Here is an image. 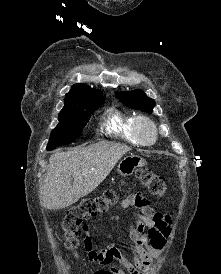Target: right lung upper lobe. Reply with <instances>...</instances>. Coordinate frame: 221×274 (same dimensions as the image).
Wrapping results in <instances>:
<instances>
[{
  "label": "right lung upper lobe",
  "mask_w": 221,
  "mask_h": 274,
  "mask_svg": "<svg viewBox=\"0 0 221 274\" xmlns=\"http://www.w3.org/2000/svg\"><path fill=\"white\" fill-rule=\"evenodd\" d=\"M99 95H103L102 92L96 89H92L91 87L84 84H75L73 85L72 90L66 94L64 102L74 103L81 98L94 97Z\"/></svg>",
  "instance_id": "obj_1"
}]
</instances>
